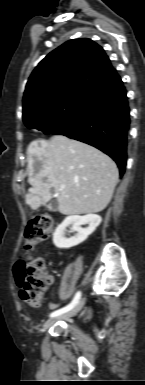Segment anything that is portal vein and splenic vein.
Here are the masks:
<instances>
[{
    "label": "portal vein and splenic vein",
    "mask_w": 145,
    "mask_h": 385,
    "mask_svg": "<svg viewBox=\"0 0 145 385\" xmlns=\"http://www.w3.org/2000/svg\"><path fill=\"white\" fill-rule=\"evenodd\" d=\"M65 188V185L64 184H61L60 185V189H64Z\"/></svg>",
    "instance_id": "portal-vein-and-splenic-vein-1"
}]
</instances>
